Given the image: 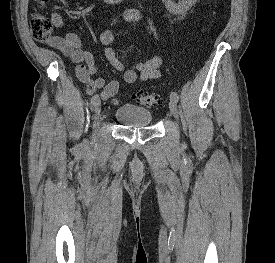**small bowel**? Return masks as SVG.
Segmentation results:
<instances>
[{"instance_id":"1","label":"small bowel","mask_w":275,"mask_h":263,"mask_svg":"<svg viewBox=\"0 0 275 263\" xmlns=\"http://www.w3.org/2000/svg\"><path fill=\"white\" fill-rule=\"evenodd\" d=\"M144 15L136 9L121 11L111 22V26L118 21L131 23L142 22ZM53 23L57 27L62 26V20L58 15H53ZM114 33L111 28L105 29L99 36V42L104 47V55L112 67L122 73L123 81L128 84L137 81L157 79L162 74V59L158 56L146 61L138 62L129 68H125L112 47ZM49 45L62 52L75 63V73L78 80L83 83L90 94L100 90L102 100H112L118 103L116 97L120 89V82L116 79L107 82L104 78L96 77V66L91 52L86 50L79 36L75 33H67L64 36H54L48 41Z\"/></svg>"}]
</instances>
